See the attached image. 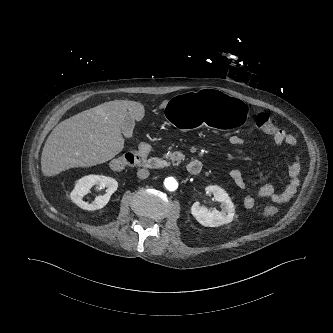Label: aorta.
Instances as JSON below:
<instances>
[{"label":"aorta","mask_w":333,"mask_h":333,"mask_svg":"<svg viewBox=\"0 0 333 333\" xmlns=\"http://www.w3.org/2000/svg\"><path fill=\"white\" fill-rule=\"evenodd\" d=\"M165 188L169 191H174L178 187V182L173 177H168L164 181Z\"/></svg>","instance_id":"aorta-1"}]
</instances>
